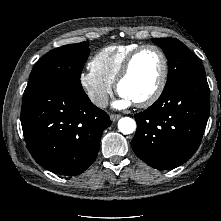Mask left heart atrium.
<instances>
[{
  "label": "left heart atrium",
  "mask_w": 221,
  "mask_h": 221,
  "mask_svg": "<svg viewBox=\"0 0 221 221\" xmlns=\"http://www.w3.org/2000/svg\"><path fill=\"white\" fill-rule=\"evenodd\" d=\"M120 99L117 100L115 103H114V106L116 108H125V107H129L130 105H132L134 102L129 99L128 97H125L123 96L122 94L120 95Z\"/></svg>",
  "instance_id": "39dd6f15"
}]
</instances>
